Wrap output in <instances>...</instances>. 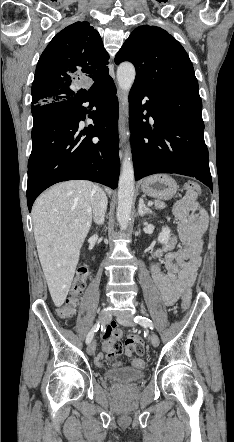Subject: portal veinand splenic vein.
<instances>
[{
    "label": "portal vein and splenic vein",
    "mask_w": 234,
    "mask_h": 442,
    "mask_svg": "<svg viewBox=\"0 0 234 442\" xmlns=\"http://www.w3.org/2000/svg\"><path fill=\"white\" fill-rule=\"evenodd\" d=\"M151 205H153V203H152V202H149V203H148V206H151Z\"/></svg>",
    "instance_id": "obj_1"
}]
</instances>
